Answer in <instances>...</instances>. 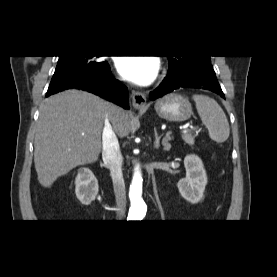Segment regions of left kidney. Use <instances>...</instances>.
Here are the masks:
<instances>
[{
    "mask_svg": "<svg viewBox=\"0 0 277 277\" xmlns=\"http://www.w3.org/2000/svg\"><path fill=\"white\" fill-rule=\"evenodd\" d=\"M186 177L179 180L177 187L181 196L192 204L198 203L207 185V175L202 160L195 154L184 158Z\"/></svg>",
    "mask_w": 277,
    "mask_h": 277,
    "instance_id": "left-kidney-1",
    "label": "left kidney"
}]
</instances>
